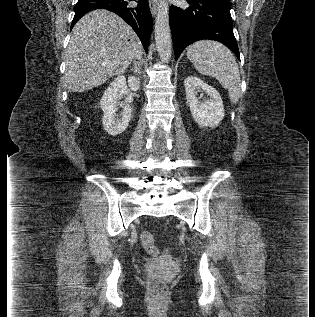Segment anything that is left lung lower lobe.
Returning a JSON list of instances; mask_svg holds the SVG:
<instances>
[{
  "label": "left lung lower lobe",
  "instance_id": "1",
  "mask_svg": "<svg viewBox=\"0 0 315 317\" xmlns=\"http://www.w3.org/2000/svg\"><path fill=\"white\" fill-rule=\"evenodd\" d=\"M189 8L170 7L169 22L176 60L182 51L195 41L210 39L223 43L240 59L233 34L227 0H187Z\"/></svg>",
  "mask_w": 315,
  "mask_h": 317
}]
</instances>
